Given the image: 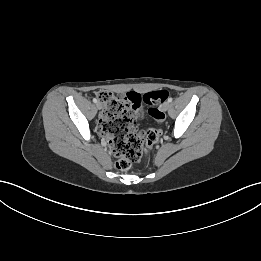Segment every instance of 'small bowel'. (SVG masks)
Returning <instances> with one entry per match:
<instances>
[{
  "label": "small bowel",
  "mask_w": 261,
  "mask_h": 261,
  "mask_svg": "<svg viewBox=\"0 0 261 261\" xmlns=\"http://www.w3.org/2000/svg\"><path fill=\"white\" fill-rule=\"evenodd\" d=\"M141 112L139 110V106L133 111V117L134 119L138 116H140ZM102 116H103V113H102ZM139 134L142 136V137H145L147 134H148V131L145 129V128H142L140 131H139Z\"/></svg>",
  "instance_id": "c3829d8e"
}]
</instances>
